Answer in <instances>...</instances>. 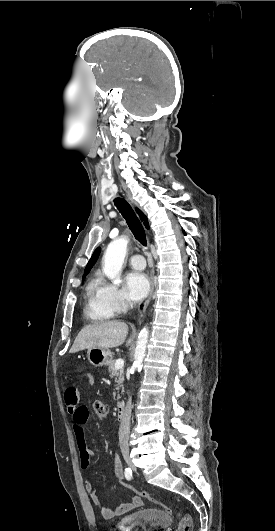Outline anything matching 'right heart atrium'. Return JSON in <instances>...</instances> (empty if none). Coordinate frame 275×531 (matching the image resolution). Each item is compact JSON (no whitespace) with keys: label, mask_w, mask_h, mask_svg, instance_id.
<instances>
[{"label":"right heart atrium","mask_w":275,"mask_h":531,"mask_svg":"<svg viewBox=\"0 0 275 531\" xmlns=\"http://www.w3.org/2000/svg\"><path fill=\"white\" fill-rule=\"evenodd\" d=\"M95 304L108 317H118L130 306L128 297L119 286L103 278L96 285Z\"/></svg>","instance_id":"obj_1"}]
</instances>
